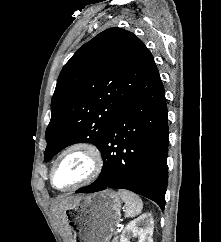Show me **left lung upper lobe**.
Instances as JSON below:
<instances>
[{"instance_id":"1","label":"left lung upper lobe","mask_w":221,"mask_h":242,"mask_svg":"<svg viewBox=\"0 0 221 242\" xmlns=\"http://www.w3.org/2000/svg\"><path fill=\"white\" fill-rule=\"evenodd\" d=\"M157 75L151 52L129 31L110 28L84 44L57 80L45 161L78 142L100 150L115 117Z\"/></svg>"}]
</instances>
